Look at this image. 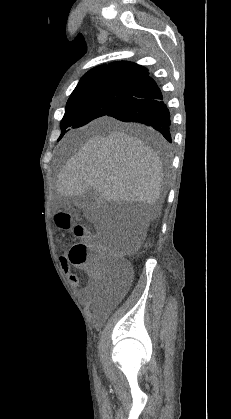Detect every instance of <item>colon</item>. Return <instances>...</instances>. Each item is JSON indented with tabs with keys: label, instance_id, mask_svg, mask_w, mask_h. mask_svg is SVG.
Listing matches in <instances>:
<instances>
[{
	"label": "colon",
	"instance_id": "1",
	"mask_svg": "<svg viewBox=\"0 0 231 419\" xmlns=\"http://www.w3.org/2000/svg\"><path fill=\"white\" fill-rule=\"evenodd\" d=\"M58 226L72 228L77 238L88 241L75 243L68 254V263L80 266L87 264L89 271L99 286L107 285L114 290L122 286L130 277L131 266L123 252H115L109 246L97 240L83 224H73L70 214L60 212L57 215Z\"/></svg>",
	"mask_w": 231,
	"mask_h": 419
}]
</instances>
